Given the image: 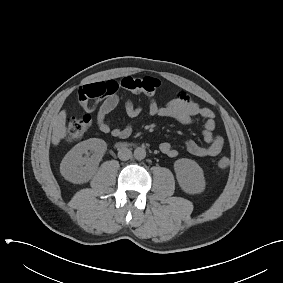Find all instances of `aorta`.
I'll return each mask as SVG.
<instances>
[{"label": "aorta", "instance_id": "aorta-1", "mask_svg": "<svg viewBox=\"0 0 283 283\" xmlns=\"http://www.w3.org/2000/svg\"><path fill=\"white\" fill-rule=\"evenodd\" d=\"M146 157V150L143 147H137L134 150V158L137 160H142Z\"/></svg>", "mask_w": 283, "mask_h": 283}]
</instances>
